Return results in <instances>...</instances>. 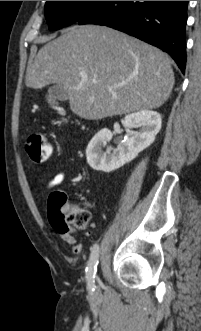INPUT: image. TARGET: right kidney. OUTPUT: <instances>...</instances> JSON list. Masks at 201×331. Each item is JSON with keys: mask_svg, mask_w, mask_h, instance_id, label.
<instances>
[{"mask_svg": "<svg viewBox=\"0 0 201 331\" xmlns=\"http://www.w3.org/2000/svg\"><path fill=\"white\" fill-rule=\"evenodd\" d=\"M123 125L125 128L140 127V129L122 145L117 148L108 146L105 152L102 149L110 142L113 134L107 128L100 130L86 149L87 162L91 168L109 173L135 159L154 142L161 129V116L155 111H138L127 115Z\"/></svg>", "mask_w": 201, "mask_h": 331, "instance_id": "right-kidney-1", "label": "right kidney"}]
</instances>
